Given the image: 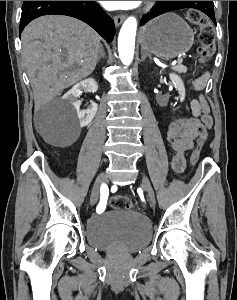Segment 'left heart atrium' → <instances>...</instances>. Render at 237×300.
I'll return each mask as SVG.
<instances>
[{"label":"left heart atrium","instance_id":"1","mask_svg":"<svg viewBox=\"0 0 237 300\" xmlns=\"http://www.w3.org/2000/svg\"><path fill=\"white\" fill-rule=\"evenodd\" d=\"M100 2L108 10H126L138 6L141 1H100Z\"/></svg>","mask_w":237,"mask_h":300}]
</instances>
